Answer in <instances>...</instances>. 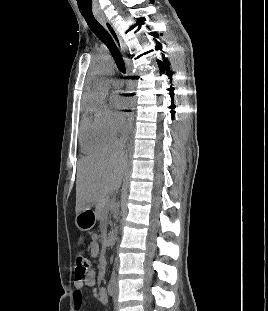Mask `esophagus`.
I'll return each instance as SVG.
<instances>
[{
	"label": "esophagus",
	"instance_id": "1",
	"mask_svg": "<svg viewBox=\"0 0 268 311\" xmlns=\"http://www.w3.org/2000/svg\"><path fill=\"white\" fill-rule=\"evenodd\" d=\"M96 18L102 24V26L108 31V33L113 38L115 44L117 45V47L119 48L121 53L124 55V59H125L126 65H127V72L129 73V61H128L127 57L125 56L126 46H125L121 36L116 31V29L111 24V22L104 15H97ZM131 96L133 97L132 100L134 102V105L131 108V112H130L129 117H128L129 131H131L133 128V121H134V117H135V105H136V102H138V100H139L137 90H132Z\"/></svg>",
	"mask_w": 268,
	"mask_h": 311
}]
</instances>
